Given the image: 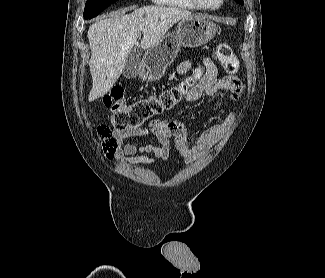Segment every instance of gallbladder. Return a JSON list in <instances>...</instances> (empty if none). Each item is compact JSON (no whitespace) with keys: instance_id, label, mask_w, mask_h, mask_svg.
Returning <instances> with one entry per match:
<instances>
[{"instance_id":"obj_1","label":"gallbladder","mask_w":325,"mask_h":278,"mask_svg":"<svg viewBox=\"0 0 325 278\" xmlns=\"http://www.w3.org/2000/svg\"><path fill=\"white\" fill-rule=\"evenodd\" d=\"M142 50L140 47L135 46L130 51L123 71V75L126 78H134L138 75L140 71V58H141Z\"/></svg>"}]
</instances>
